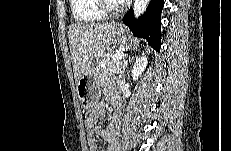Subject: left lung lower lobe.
<instances>
[{"instance_id": "left-lung-lower-lobe-1", "label": "left lung lower lobe", "mask_w": 231, "mask_h": 151, "mask_svg": "<svg viewBox=\"0 0 231 151\" xmlns=\"http://www.w3.org/2000/svg\"><path fill=\"white\" fill-rule=\"evenodd\" d=\"M164 6V0H151L145 13L138 19L134 18L131 8L122 21L139 38H145L148 44L160 51L161 41V12Z\"/></svg>"}]
</instances>
